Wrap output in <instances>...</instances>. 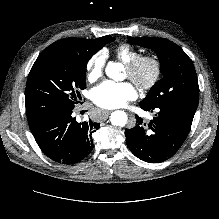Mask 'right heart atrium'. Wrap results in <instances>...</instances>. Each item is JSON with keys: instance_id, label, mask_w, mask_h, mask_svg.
Wrapping results in <instances>:
<instances>
[{"instance_id": "1", "label": "right heart atrium", "mask_w": 219, "mask_h": 219, "mask_svg": "<svg viewBox=\"0 0 219 219\" xmlns=\"http://www.w3.org/2000/svg\"><path fill=\"white\" fill-rule=\"evenodd\" d=\"M106 56L100 51L94 54L88 61L86 66V77L88 81L95 82L103 76Z\"/></svg>"}]
</instances>
